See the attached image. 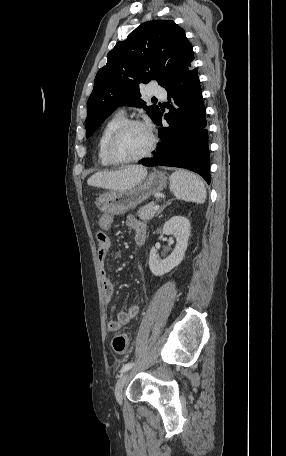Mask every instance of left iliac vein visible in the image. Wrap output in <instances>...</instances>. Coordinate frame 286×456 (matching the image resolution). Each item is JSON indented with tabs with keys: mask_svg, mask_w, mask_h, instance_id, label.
<instances>
[{
	"mask_svg": "<svg viewBox=\"0 0 286 456\" xmlns=\"http://www.w3.org/2000/svg\"><path fill=\"white\" fill-rule=\"evenodd\" d=\"M129 373L126 372L123 374L117 381L116 386H115V397L118 403L122 402V391L123 388L128 380Z\"/></svg>",
	"mask_w": 286,
	"mask_h": 456,
	"instance_id": "4c4485c4",
	"label": "left iliac vein"
}]
</instances>
